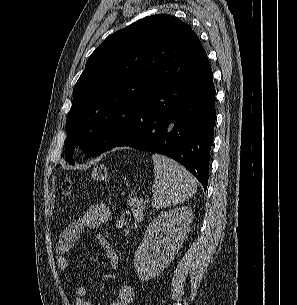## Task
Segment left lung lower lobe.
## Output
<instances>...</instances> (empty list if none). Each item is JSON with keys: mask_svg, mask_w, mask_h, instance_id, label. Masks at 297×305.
Listing matches in <instances>:
<instances>
[{"mask_svg": "<svg viewBox=\"0 0 297 305\" xmlns=\"http://www.w3.org/2000/svg\"><path fill=\"white\" fill-rule=\"evenodd\" d=\"M212 75L208 65L163 83L140 103L124 133L107 142L101 153L132 147L167 155L185 166L206 190L216 115Z\"/></svg>", "mask_w": 297, "mask_h": 305, "instance_id": "0a47b994", "label": "left lung lower lobe"}]
</instances>
